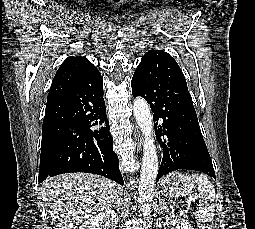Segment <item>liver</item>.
<instances>
[{
    "instance_id": "obj_1",
    "label": "liver",
    "mask_w": 255,
    "mask_h": 229,
    "mask_svg": "<svg viewBox=\"0 0 255 229\" xmlns=\"http://www.w3.org/2000/svg\"><path fill=\"white\" fill-rule=\"evenodd\" d=\"M40 191L49 217L58 221L59 229H76L95 212L111 207L121 189L103 176L70 173L48 178Z\"/></svg>"
}]
</instances>
